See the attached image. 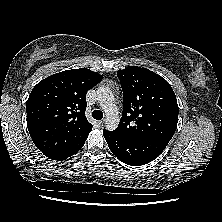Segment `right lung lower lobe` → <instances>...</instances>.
<instances>
[{"label": "right lung lower lobe", "instance_id": "1", "mask_svg": "<svg viewBox=\"0 0 222 222\" xmlns=\"http://www.w3.org/2000/svg\"><path fill=\"white\" fill-rule=\"evenodd\" d=\"M83 145L84 144H82L80 147H78L76 149H73L69 152L54 153V154L47 155V157H49L52 160L62 161L64 159L68 158V157H71L73 154L77 153V151H79L82 148Z\"/></svg>", "mask_w": 222, "mask_h": 222}]
</instances>
